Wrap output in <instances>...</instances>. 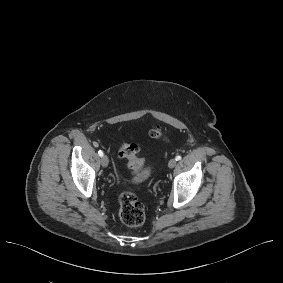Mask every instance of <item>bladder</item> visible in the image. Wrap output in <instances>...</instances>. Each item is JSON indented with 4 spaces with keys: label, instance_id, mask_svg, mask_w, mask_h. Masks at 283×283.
<instances>
[{
    "label": "bladder",
    "instance_id": "bladder-1",
    "mask_svg": "<svg viewBox=\"0 0 283 283\" xmlns=\"http://www.w3.org/2000/svg\"><path fill=\"white\" fill-rule=\"evenodd\" d=\"M152 171H153L152 166H148V167H145V168H143V167L137 168L136 177H137L138 181L141 182L145 179H148L151 176Z\"/></svg>",
    "mask_w": 283,
    "mask_h": 283
}]
</instances>
